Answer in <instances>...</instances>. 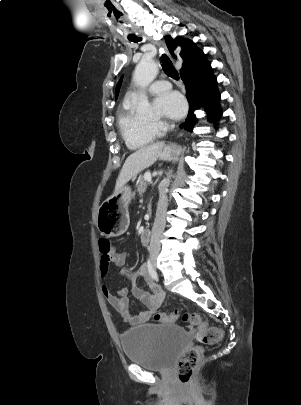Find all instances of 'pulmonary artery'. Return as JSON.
Wrapping results in <instances>:
<instances>
[{
  "instance_id": "obj_1",
  "label": "pulmonary artery",
  "mask_w": 301,
  "mask_h": 405,
  "mask_svg": "<svg viewBox=\"0 0 301 405\" xmlns=\"http://www.w3.org/2000/svg\"><path fill=\"white\" fill-rule=\"evenodd\" d=\"M170 88H171V85L168 81L158 80V81H155L152 84H150L149 87L147 88V91L151 94H159V93L168 91ZM137 96H138V92L134 90L127 94L125 100L127 102H133L134 100H136Z\"/></svg>"
}]
</instances>
